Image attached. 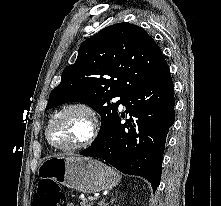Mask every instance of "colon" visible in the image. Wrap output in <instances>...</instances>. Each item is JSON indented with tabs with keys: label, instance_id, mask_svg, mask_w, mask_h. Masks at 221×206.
<instances>
[{
	"label": "colon",
	"instance_id": "obj_1",
	"mask_svg": "<svg viewBox=\"0 0 221 206\" xmlns=\"http://www.w3.org/2000/svg\"><path fill=\"white\" fill-rule=\"evenodd\" d=\"M34 206H66V196L52 181L39 182L33 196Z\"/></svg>",
	"mask_w": 221,
	"mask_h": 206
}]
</instances>
